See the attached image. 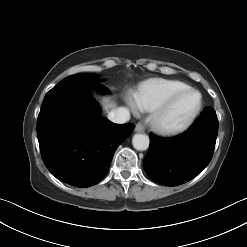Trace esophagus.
<instances>
[{
    "instance_id": "34e87169",
    "label": "esophagus",
    "mask_w": 247,
    "mask_h": 247,
    "mask_svg": "<svg viewBox=\"0 0 247 247\" xmlns=\"http://www.w3.org/2000/svg\"><path fill=\"white\" fill-rule=\"evenodd\" d=\"M144 130H145V126L143 125L142 122H139L136 124V126H135L136 132H144Z\"/></svg>"
}]
</instances>
